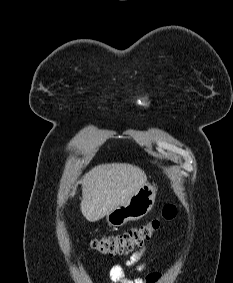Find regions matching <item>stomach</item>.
<instances>
[{
	"label": "stomach",
	"instance_id": "0dacf381",
	"mask_svg": "<svg viewBox=\"0 0 233 283\" xmlns=\"http://www.w3.org/2000/svg\"><path fill=\"white\" fill-rule=\"evenodd\" d=\"M156 198V188L150 183L144 184L123 204L106 215L110 226L120 227L129 221L144 217L152 209Z\"/></svg>",
	"mask_w": 233,
	"mask_h": 283
}]
</instances>
